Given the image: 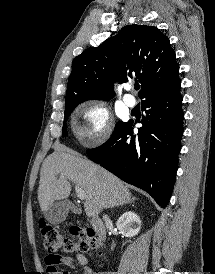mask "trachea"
Returning a JSON list of instances; mask_svg holds the SVG:
<instances>
[{"label": "trachea", "mask_w": 215, "mask_h": 274, "mask_svg": "<svg viewBox=\"0 0 215 274\" xmlns=\"http://www.w3.org/2000/svg\"><path fill=\"white\" fill-rule=\"evenodd\" d=\"M135 90H139L140 86L139 85H135Z\"/></svg>", "instance_id": "1"}]
</instances>
